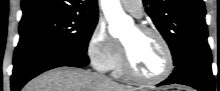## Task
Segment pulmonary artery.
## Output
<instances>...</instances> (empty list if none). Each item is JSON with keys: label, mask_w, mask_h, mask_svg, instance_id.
Wrapping results in <instances>:
<instances>
[{"label": "pulmonary artery", "mask_w": 220, "mask_h": 91, "mask_svg": "<svg viewBox=\"0 0 220 91\" xmlns=\"http://www.w3.org/2000/svg\"><path fill=\"white\" fill-rule=\"evenodd\" d=\"M121 4H122V7L126 11L130 12L134 16H136V17L141 16L142 1H140V0H132V1L123 0V1H121Z\"/></svg>", "instance_id": "e3ab8cb5"}]
</instances>
